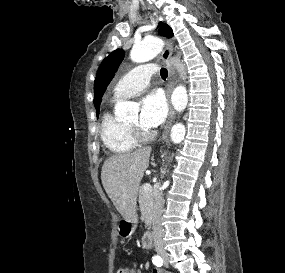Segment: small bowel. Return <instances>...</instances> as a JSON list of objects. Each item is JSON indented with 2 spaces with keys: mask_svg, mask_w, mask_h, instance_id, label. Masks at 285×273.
<instances>
[{
  "mask_svg": "<svg viewBox=\"0 0 285 273\" xmlns=\"http://www.w3.org/2000/svg\"><path fill=\"white\" fill-rule=\"evenodd\" d=\"M131 273H142L141 269H137L135 272L131 270ZM152 273H163L161 270H153Z\"/></svg>",
  "mask_w": 285,
  "mask_h": 273,
  "instance_id": "1",
  "label": "small bowel"
}]
</instances>
